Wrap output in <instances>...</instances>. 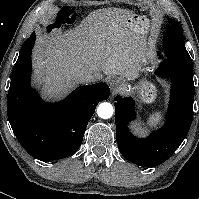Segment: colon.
<instances>
[{
  "label": "colon",
  "mask_w": 199,
  "mask_h": 199,
  "mask_svg": "<svg viewBox=\"0 0 199 199\" xmlns=\"http://www.w3.org/2000/svg\"><path fill=\"white\" fill-rule=\"evenodd\" d=\"M73 21L74 19L72 11L66 8H62L59 10L57 17L49 23L48 27L53 28L54 26L60 24H71Z\"/></svg>",
  "instance_id": "5ec220e1"
}]
</instances>
